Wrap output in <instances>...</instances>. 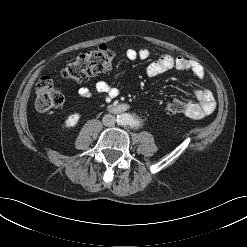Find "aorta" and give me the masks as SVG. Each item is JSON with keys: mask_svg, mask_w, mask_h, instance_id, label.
Masks as SVG:
<instances>
[{"mask_svg": "<svg viewBox=\"0 0 247 247\" xmlns=\"http://www.w3.org/2000/svg\"><path fill=\"white\" fill-rule=\"evenodd\" d=\"M117 123L119 125H133L136 123L135 119L132 117V115L128 114V113H123L118 115L117 117Z\"/></svg>", "mask_w": 247, "mask_h": 247, "instance_id": "aorta-1", "label": "aorta"}]
</instances>
